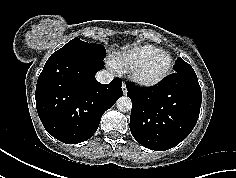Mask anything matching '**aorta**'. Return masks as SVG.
<instances>
[{"label": "aorta", "instance_id": "1", "mask_svg": "<svg viewBox=\"0 0 236 178\" xmlns=\"http://www.w3.org/2000/svg\"><path fill=\"white\" fill-rule=\"evenodd\" d=\"M116 106L121 112H129L132 109V101L129 97L122 96L117 100Z\"/></svg>", "mask_w": 236, "mask_h": 178}]
</instances>
